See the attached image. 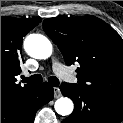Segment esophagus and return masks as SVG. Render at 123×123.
Instances as JSON below:
<instances>
[{
  "label": "esophagus",
  "mask_w": 123,
  "mask_h": 123,
  "mask_svg": "<svg viewBox=\"0 0 123 123\" xmlns=\"http://www.w3.org/2000/svg\"><path fill=\"white\" fill-rule=\"evenodd\" d=\"M61 96H62V94H61L60 89L57 88V87H55V88H54V97H55V98H59V97H61Z\"/></svg>",
  "instance_id": "esophagus-1"
}]
</instances>
